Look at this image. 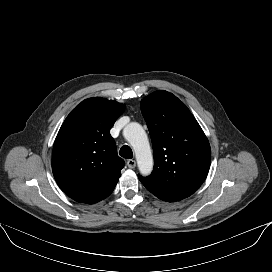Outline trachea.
Here are the masks:
<instances>
[{"label": "trachea", "instance_id": "1", "mask_svg": "<svg viewBox=\"0 0 272 272\" xmlns=\"http://www.w3.org/2000/svg\"><path fill=\"white\" fill-rule=\"evenodd\" d=\"M119 154L121 157L125 158V159H131L133 158V152L131 150V148L128 145H124L121 147Z\"/></svg>", "mask_w": 272, "mask_h": 272}]
</instances>
